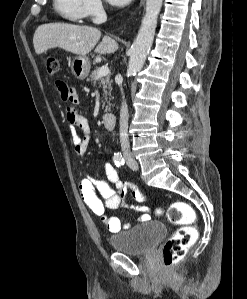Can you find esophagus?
<instances>
[{"label": "esophagus", "instance_id": "obj_1", "mask_svg": "<svg viewBox=\"0 0 247 299\" xmlns=\"http://www.w3.org/2000/svg\"><path fill=\"white\" fill-rule=\"evenodd\" d=\"M145 0H141L142 3H144Z\"/></svg>", "mask_w": 247, "mask_h": 299}]
</instances>
